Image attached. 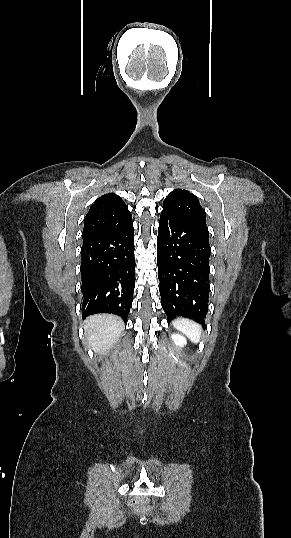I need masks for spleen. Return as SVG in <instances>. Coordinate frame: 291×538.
Here are the masks:
<instances>
[{"instance_id": "obj_1", "label": "spleen", "mask_w": 291, "mask_h": 538, "mask_svg": "<svg viewBox=\"0 0 291 538\" xmlns=\"http://www.w3.org/2000/svg\"><path fill=\"white\" fill-rule=\"evenodd\" d=\"M173 326L184 333L190 340L197 343L200 339L201 326L186 318H177L173 321Z\"/></svg>"}]
</instances>
